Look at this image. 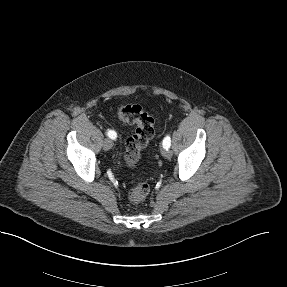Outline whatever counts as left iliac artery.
<instances>
[{
	"label": "left iliac artery",
	"mask_w": 287,
	"mask_h": 287,
	"mask_svg": "<svg viewBox=\"0 0 287 287\" xmlns=\"http://www.w3.org/2000/svg\"><path fill=\"white\" fill-rule=\"evenodd\" d=\"M162 145H163V148H165V149H168L170 147V145H171V138H170V136L167 135L163 139Z\"/></svg>",
	"instance_id": "left-iliac-artery-1"
}]
</instances>
